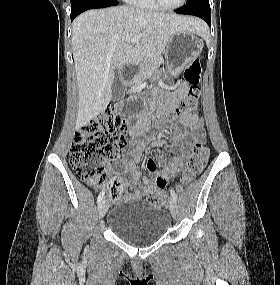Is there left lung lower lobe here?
Wrapping results in <instances>:
<instances>
[{
  "label": "left lung lower lobe",
  "mask_w": 280,
  "mask_h": 285,
  "mask_svg": "<svg viewBox=\"0 0 280 285\" xmlns=\"http://www.w3.org/2000/svg\"><path fill=\"white\" fill-rule=\"evenodd\" d=\"M175 12L178 14L198 16L205 20L209 26L211 25V10L209 0L196 1L177 9Z\"/></svg>",
  "instance_id": "0a47b994"
}]
</instances>
